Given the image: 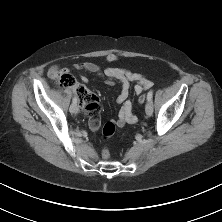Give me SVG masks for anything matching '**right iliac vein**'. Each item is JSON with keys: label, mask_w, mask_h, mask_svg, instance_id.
<instances>
[{"label": "right iliac vein", "mask_w": 222, "mask_h": 222, "mask_svg": "<svg viewBox=\"0 0 222 222\" xmlns=\"http://www.w3.org/2000/svg\"><path fill=\"white\" fill-rule=\"evenodd\" d=\"M70 112L73 113V114H76L78 113V107L76 105V103H73L70 108H69Z\"/></svg>", "instance_id": "right-iliac-vein-1"}]
</instances>
